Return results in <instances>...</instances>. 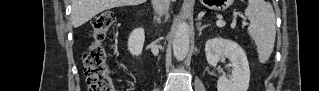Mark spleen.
Instances as JSON below:
<instances>
[{
	"label": "spleen",
	"instance_id": "3e777b00",
	"mask_svg": "<svg viewBox=\"0 0 319 91\" xmlns=\"http://www.w3.org/2000/svg\"><path fill=\"white\" fill-rule=\"evenodd\" d=\"M244 13L250 21L248 34L256 44L259 62L264 64L273 52L276 37L273 8L264 0H250Z\"/></svg>",
	"mask_w": 319,
	"mask_h": 91
}]
</instances>
